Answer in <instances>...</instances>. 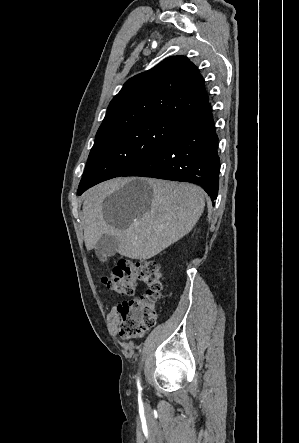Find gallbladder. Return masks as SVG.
Here are the masks:
<instances>
[{
  "instance_id": "gallbladder-1",
  "label": "gallbladder",
  "mask_w": 299,
  "mask_h": 443,
  "mask_svg": "<svg viewBox=\"0 0 299 443\" xmlns=\"http://www.w3.org/2000/svg\"><path fill=\"white\" fill-rule=\"evenodd\" d=\"M119 241L111 235L102 236L95 246L96 256L100 261H105L108 257L114 256L117 252Z\"/></svg>"
}]
</instances>
